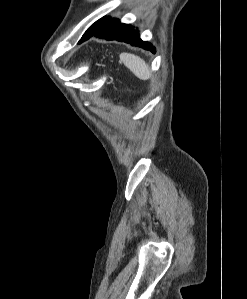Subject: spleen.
Returning a JSON list of instances; mask_svg holds the SVG:
<instances>
[{"label":"spleen","mask_w":247,"mask_h":299,"mask_svg":"<svg viewBox=\"0 0 247 299\" xmlns=\"http://www.w3.org/2000/svg\"><path fill=\"white\" fill-rule=\"evenodd\" d=\"M120 60L138 78L147 79L149 77V67L139 56L130 53H121Z\"/></svg>","instance_id":"1"}]
</instances>
